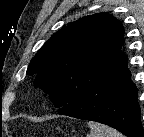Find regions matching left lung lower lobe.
<instances>
[{
  "mask_svg": "<svg viewBox=\"0 0 144 137\" xmlns=\"http://www.w3.org/2000/svg\"><path fill=\"white\" fill-rule=\"evenodd\" d=\"M137 88L131 81L127 59L92 89L58 114L111 126L127 137H144Z\"/></svg>",
  "mask_w": 144,
  "mask_h": 137,
  "instance_id": "left-lung-lower-lobe-1",
  "label": "left lung lower lobe"
}]
</instances>
